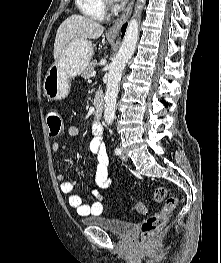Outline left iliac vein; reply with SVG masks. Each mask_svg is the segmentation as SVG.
Here are the masks:
<instances>
[{
	"label": "left iliac vein",
	"mask_w": 221,
	"mask_h": 263,
	"mask_svg": "<svg viewBox=\"0 0 221 263\" xmlns=\"http://www.w3.org/2000/svg\"><path fill=\"white\" fill-rule=\"evenodd\" d=\"M120 157H121V159L124 160V161H126V160L128 159V157H127V155H126V153H125V151H124L123 149H122V152H121Z\"/></svg>",
	"instance_id": "1"
}]
</instances>
